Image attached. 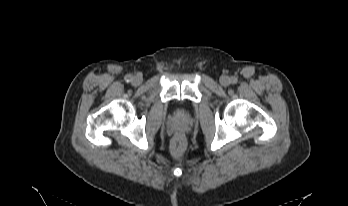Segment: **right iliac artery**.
Listing matches in <instances>:
<instances>
[{
    "label": "right iliac artery",
    "instance_id": "1",
    "mask_svg": "<svg viewBox=\"0 0 348 206\" xmlns=\"http://www.w3.org/2000/svg\"><path fill=\"white\" fill-rule=\"evenodd\" d=\"M131 80H132L131 75H126V76H125V81H126V82H130Z\"/></svg>",
    "mask_w": 348,
    "mask_h": 206
}]
</instances>
